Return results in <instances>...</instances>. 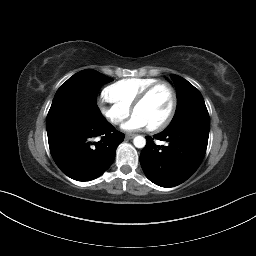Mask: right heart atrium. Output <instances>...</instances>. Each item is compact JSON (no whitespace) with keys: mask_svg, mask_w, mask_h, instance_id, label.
<instances>
[{"mask_svg":"<svg viewBox=\"0 0 256 256\" xmlns=\"http://www.w3.org/2000/svg\"><path fill=\"white\" fill-rule=\"evenodd\" d=\"M100 111L113 125L121 124L130 114L131 109L114 100L104 92L99 101Z\"/></svg>","mask_w":256,"mask_h":256,"instance_id":"right-heart-atrium-1","label":"right heart atrium"}]
</instances>
